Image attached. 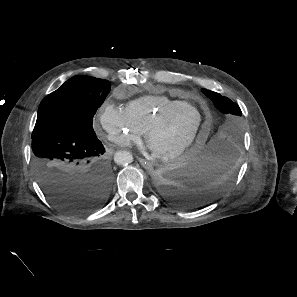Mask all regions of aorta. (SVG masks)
I'll use <instances>...</instances> for the list:
<instances>
[{"label": "aorta", "instance_id": "1", "mask_svg": "<svg viewBox=\"0 0 297 297\" xmlns=\"http://www.w3.org/2000/svg\"><path fill=\"white\" fill-rule=\"evenodd\" d=\"M114 161L118 165H127L133 161V156L129 151H118L114 155Z\"/></svg>", "mask_w": 297, "mask_h": 297}]
</instances>
